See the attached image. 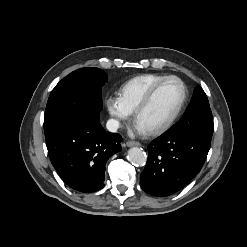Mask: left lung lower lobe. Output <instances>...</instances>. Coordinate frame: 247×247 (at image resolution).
Returning a JSON list of instances; mask_svg holds the SVG:
<instances>
[{
    "label": "left lung lower lobe",
    "instance_id": "0a47b994",
    "mask_svg": "<svg viewBox=\"0 0 247 247\" xmlns=\"http://www.w3.org/2000/svg\"><path fill=\"white\" fill-rule=\"evenodd\" d=\"M211 137L170 129L148 146V159L140 175L148 194L168 196L182 189L201 170Z\"/></svg>",
    "mask_w": 247,
    "mask_h": 247
}]
</instances>
